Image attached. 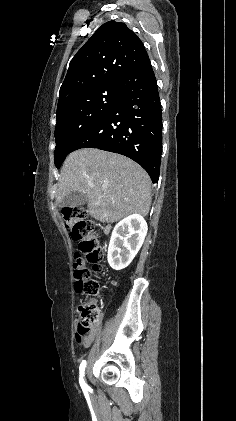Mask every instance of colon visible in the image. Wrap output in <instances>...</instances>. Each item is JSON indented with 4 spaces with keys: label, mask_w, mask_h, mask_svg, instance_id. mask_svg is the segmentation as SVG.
<instances>
[{
    "label": "colon",
    "mask_w": 236,
    "mask_h": 421,
    "mask_svg": "<svg viewBox=\"0 0 236 421\" xmlns=\"http://www.w3.org/2000/svg\"><path fill=\"white\" fill-rule=\"evenodd\" d=\"M63 215L72 239L78 243L79 252L85 256L76 253L74 257L75 290L80 294L96 295L100 286L87 268L86 261L93 264L94 271L99 270V263L103 259V247L98 233L95 231L94 224L86 219V211L83 208H67ZM100 319V308L93 301H83L78 306L76 342L83 344L84 337L93 330Z\"/></svg>",
    "instance_id": "obj_1"
}]
</instances>
